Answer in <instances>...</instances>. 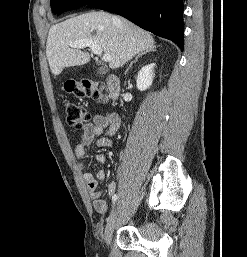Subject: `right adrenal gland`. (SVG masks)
I'll return each instance as SVG.
<instances>
[{
    "label": "right adrenal gland",
    "mask_w": 247,
    "mask_h": 257,
    "mask_svg": "<svg viewBox=\"0 0 247 257\" xmlns=\"http://www.w3.org/2000/svg\"><path fill=\"white\" fill-rule=\"evenodd\" d=\"M152 51H155V50L149 49V50H147V51H144V52L139 53V54L135 57V59L130 63L129 67L126 69L125 75L128 73V71H129V69L132 67L133 63H136L140 57H142L143 55H146L147 53H150V52H152Z\"/></svg>",
    "instance_id": "1"
}]
</instances>
